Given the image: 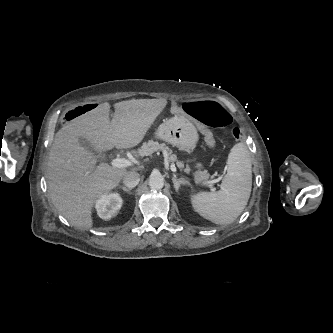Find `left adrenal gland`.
I'll return each instance as SVG.
<instances>
[{
    "label": "left adrenal gland",
    "instance_id": "obj_1",
    "mask_svg": "<svg viewBox=\"0 0 333 333\" xmlns=\"http://www.w3.org/2000/svg\"><path fill=\"white\" fill-rule=\"evenodd\" d=\"M172 181H173V184H174V188L175 190L178 192L179 188L181 185H188L190 186V183L185 180L184 178H177V176L174 174L173 177H172Z\"/></svg>",
    "mask_w": 333,
    "mask_h": 333
}]
</instances>
